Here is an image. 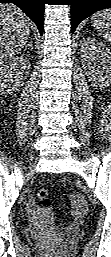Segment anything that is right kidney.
<instances>
[{
    "label": "right kidney",
    "instance_id": "obj_1",
    "mask_svg": "<svg viewBox=\"0 0 111 257\" xmlns=\"http://www.w3.org/2000/svg\"><path fill=\"white\" fill-rule=\"evenodd\" d=\"M30 69L27 57H17L8 65L1 68V90L3 93H12L23 85L24 74Z\"/></svg>",
    "mask_w": 111,
    "mask_h": 257
}]
</instances>
